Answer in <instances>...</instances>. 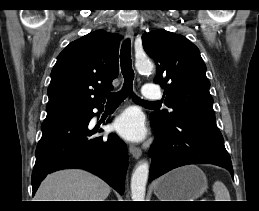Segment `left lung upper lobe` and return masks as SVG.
<instances>
[{
  "label": "left lung upper lobe",
  "instance_id": "1",
  "mask_svg": "<svg viewBox=\"0 0 259 211\" xmlns=\"http://www.w3.org/2000/svg\"><path fill=\"white\" fill-rule=\"evenodd\" d=\"M142 41L157 65L154 82L164 88L165 104L173 109L153 112L151 117L165 124L183 116L215 122L210 82L199 49L186 37L164 29L143 34Z\"/></svg>",
  "mask_w": 259,
  "mask_h": 211
}]
</instances>
